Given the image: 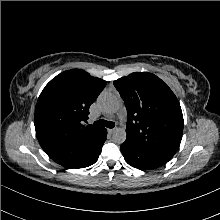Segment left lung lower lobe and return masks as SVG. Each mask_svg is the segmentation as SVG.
<instances>
[{
    "mask_svg": "<svg viewBox=\"0 0 220 220\" xmlns=\"http://www.w3.org/2000/svg\"><path fill=\"white\" fill-rule=\"evenodd\" d=\"M124 159L131 166L141 170H152L166 164L169 160L138 148L128 142L121 144Z\"/></svg>",
    "mask_w": 220,
    "mask_h": 220,
    "instance_id": "left-lung-lower-lobe-1",
    "label": "left lung lower lobe"
}]
</instances>
